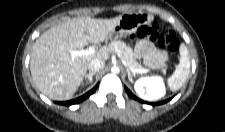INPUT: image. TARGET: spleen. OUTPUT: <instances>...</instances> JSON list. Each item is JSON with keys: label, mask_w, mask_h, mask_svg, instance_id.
Returning a JSON list of instances; mask_svg holds the SVG:
<instances>
[{"label": "spleen", "mask_w": 225, "mask_h": 132, "mask_svg": "<svg viewBox=\"0 0 225 132\" xmlns=\"http://www.w3.org/2000/svg\"><path fill=\"white\" fill-rule=\"evenodd\" d=\"M180 62L172 76L168 79V86L172 91H177L186 82L190 73V59L187 47L182 44L179 48Z\"/></svg>", "instance_id": "3e777b00"}]
</instances>
